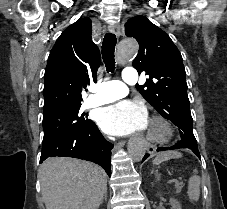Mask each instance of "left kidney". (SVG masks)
I'll return each instance as SVG.
<instances>
[{
	"label": "left kidney",
	"mask_w": 227,
	"mask_h": 209,
	"mask_svg": "<svg viewBox=\"0 0 227 209\" xmlns=\"http://www.w3.org/2000/svg\"><path fill=\"white\" fill-rule=\"evenodd\" d=\"M169 203L171 205V209H181V205L178 201H176V199H170Z\"/></svg>",
	"instance_id": "left-kidney-1"
}]
</instances>
